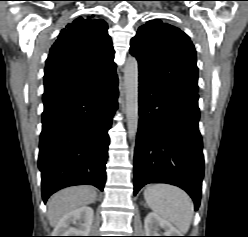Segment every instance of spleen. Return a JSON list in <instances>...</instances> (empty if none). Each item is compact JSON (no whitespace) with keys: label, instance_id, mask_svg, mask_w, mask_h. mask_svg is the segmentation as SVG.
Here are the masks:
<instances>
[{"label":"spleen","instance_id":"obj_1","mask_svg":"<svg viewBox=\"0 0 248 237\" xmlns=\"http://www.w3.org/2000/svg\"><path fill=\"white\" fill-rule=\"evenodd\" d=\"M144 198L154 213L171 222L181 233L189 230L194 205L183 190L167 184H153L144 190Z\"/></svg>","mask_w":248,"mask_h":237}]
</instances>
